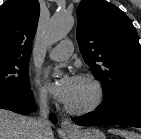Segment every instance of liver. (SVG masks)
I'll return each mask as SVG.
<instances>
[{"label": "liver", "mask_w": 141, "mask_h": 139, "mask_svg": "<svg viewBox=\"0 0 141 139\" xmlns=\"http://www.w3.org/2000/svg\"><path fill=\"white\" fill-rule=\"evenodd\" d=\"M35 118L0 109V139H33ZM48 139H54L51 131Z\"/></svg>", "instance_id": "1"}]
</instances>
